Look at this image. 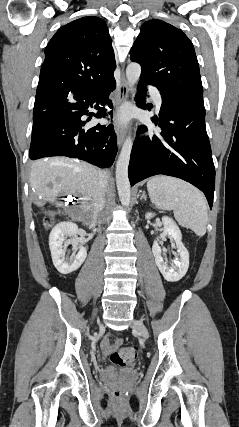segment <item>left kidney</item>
Listing matches in <instances>:
<instances>
[{"label": "left kidney", "mask_w": 239, "mask_h": 427, "mask_svg": "<svg viewBox=\"0 0 239 427\" xmlns=\"http://www.w3.org/2000/svg\"><path fill=\"white\" fill-rule=\"evenodd\" d=\"M154 217L153 213H146L145 218L151 219ZM164 225L163 233L161 237L169 236L176 242L177 252L180 256L178 260L174 261L173 267H170L166 262H164L161 256V247L158 244V241L155 240L152 246V252L155 257L156 265L158 266L161 274L168 282L179 281L187 272L189 267V253L182 243V234L178 225L174 222L172 218L164 216L162 218Z\"/></svg>", "instance_id": "1"}]
</instances>
